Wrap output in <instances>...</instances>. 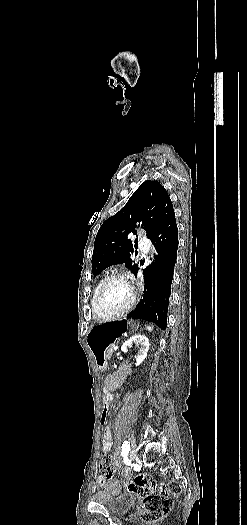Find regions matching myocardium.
Instances as JSON below:
<instances>
[{"label":"myocardium","instance_id":"1","mask_svg":"<svg viewBox=\"0 0 247 525\" xmlns=\"http://www.w3.org/2000/svg\"><path fill=\"white\" fill-rule=\"evenodd\" d=\"M127 278L129 280H131V282L133 283V286H134V283H135V279L133 277V275L129 272H126V271H115L111 274H109L108 276H106L104 279H102L96 286L95 290H94V293H93V296H94V299L96 300V310L105 315V316H114V315H120V314H124L126 313L133 305H134V302H135V294H134V290H133V286H132V290H131V295L129 297V299L127 300V302L125 304H122V305H118V306H115L113 308H102L99 306V304H97V300H98V295H99V292L101 290V288L112 278Z\"/></svg>","mask_w":247,"mask_h":525}]
</instances>
